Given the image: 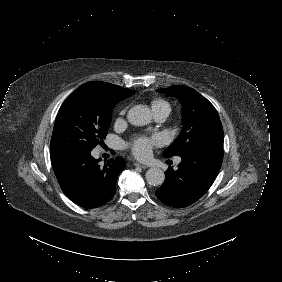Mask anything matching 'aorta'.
Here are the masks:
<instances>
[{
    "label": "aorta",
    "mask_w": 282,
    "mask_h": 282,
    "mask_svg": "<svg viewBox=\"0 0 282 282\" xmlns=\"http://www.w3.org/2000/svg\"><path fill=\"white\" fill-rule=\"evenodd\" d=\"M128 122L136 126H144L151 122L152 115L146 105H135L127 113ZM146 181L152 186H160L165 180V174L160 168H150L145 175Z\"/></svg>",
    "instance_id": "obj_1"
}]
</instances>
